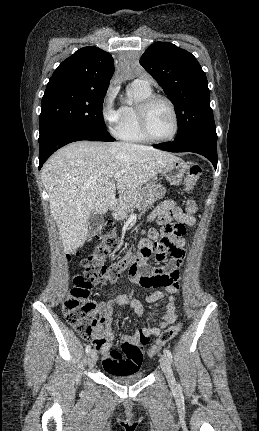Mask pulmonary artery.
<instances>
[{"mask_svg":"<svg viewBox=\"0 0 259 431\" xmlns=\"http://www.w3.org/2000/svg\"><path fill=\"white\" fill-rule=\"evenodd\" d=\"M132 85L142 88H150V81L148 78L136 79L133 81Z\"/></svg>","mask_w":259,"mask_h":431,"instance_id":"pulmonary-artery-1","label":"pulmonary artery"}]
</instances>
